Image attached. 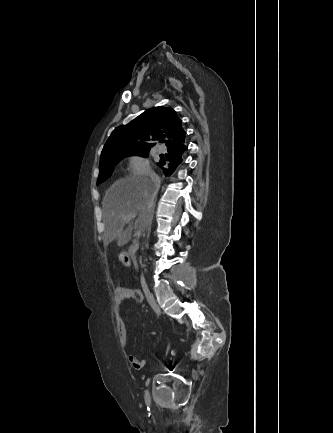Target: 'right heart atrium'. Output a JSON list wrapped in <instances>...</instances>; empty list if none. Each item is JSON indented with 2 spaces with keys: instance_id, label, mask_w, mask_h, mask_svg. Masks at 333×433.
Wrapping results in <instances>:
<instances>
[{
  "instance_id": "obj_1",
  "label": "right heart atrium",
  "mask_w": 333,
  "mask_h": 433,
  "mask_svg": "<svg viewBox=\"0 0 333 433\" xmlns=\"http://www.w3.org/2000/svg\"><path fill=\"white\" fill-rule=\"evenodd\" d=\"M127 171L133 176H145L150 173L147 158L140 154H133L127 158Z\"/></svg>"
}]
</instances>
